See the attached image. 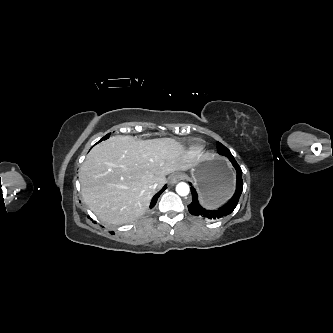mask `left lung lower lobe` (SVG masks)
<instances>
[{"mask_svg":"<svg viewBox=\"0 0 333 333\" xmlns=\"http://www.w3.org/2000/svg\"><path fill=\"white\" fill-rule=\"evenodd\" d=\"M230 161L233 164L234 168L236 169L237 173L236 191L232 196V198L220 208L212 210L205 209L199 204L197 192L195 188L191 186L192 202L191 204L188 205V210L192 215L207 221H216L218 219L224 218L225 216L233 212V210L238 204L240 195L243 190V181H242V170L240 166L237 164L235 160H230Z\"/></svg>","mask_w":333,"mask_h":333,"instance_id":"0a47b994","label":"left lung lower lobe"}]
</instances>
